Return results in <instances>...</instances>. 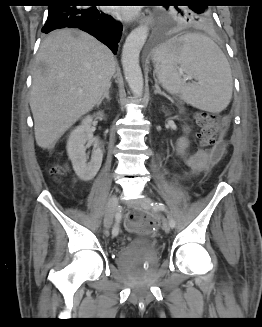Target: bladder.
Instances as JSON below:
<instances>
[{"label":"bladder","instance_id":"31cf9c89","mask_svg":"<svg viewBox=\"0 0 262 327\" xmlns=\"http://www.w3.org/2000/svg\"><path fill=\"white\" fill-rule=\"evenodd\" d=\"M141 251H148L155 256L157 255V250L154 247L152 240L148 237L137 236L133 238L131 241L126 243L119 252V259L132 256Z\"/></svg>","mask_w":262,"mask_h":327}]
</instances>
